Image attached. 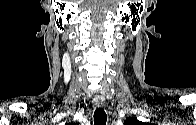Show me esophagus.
I'll return each instance as SVG.
<instances>
[{
    "label": "esophagus",
    "instance_id": "obj_1",
    "mask_svg": "<svg viewBox=\"0 0 196 125\" xmlns=\"http://www.w3.org/2000/svg\"><path fill=\"white\" fill-rule=\"evenodd\" d=\"M94 106L97 108H103L104 107V102L99 99H94L93 100Z\"/></svg>",
    "mask_w": 196,
    "mask_h": 125
}]
</instances>
